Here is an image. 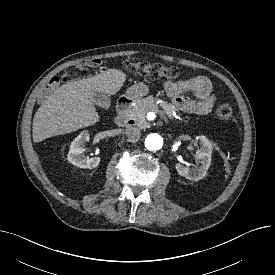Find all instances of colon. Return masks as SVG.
Masks as SVG:
<instances>
[{"instance_id": "1", "label": "colon", "mask_w": 275, "mask_h": 275, "mask_svg": "<svg viewBox=\"0 0 275 275\" xmlns=\"http://www.w3.org/2000/svg\"><path fill=\"white\" fill-rule=\"evenodd\" d=\"M101 60H89L84 63V66L68 67L60 78H55L52 83L56 84L60 80L64 82H72L84 79L88 75L86 67H96L101 65ZM125 67L133 73L147 76L152 79H177L181 75L179 68L175 66H166L160 63H151L138 58H128L124 62ZM216 116L222 120H230L233 117V107L229 103H223L216 108Z\"/></svg>"}]
</instances>
